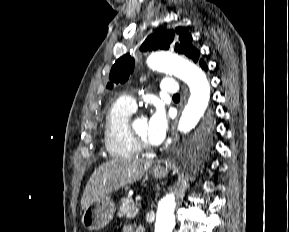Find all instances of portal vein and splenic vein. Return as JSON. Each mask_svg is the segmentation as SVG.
<instances>
[{
  "label": "portal vein and splenic vein",
  "instance_id": "1",
  "mask_svg": "<svg viewBox=\"0 0 289 232\" xmlns=\"http://www.w3.org/2000/svg\"><path fill=\"white\" fill-rule=\"evenodd\" d=\"M135 200H136V201H140V200H141V197L137 196V197L135 198Z\"/></svg>",
  "mask_w": 289,
  "mask_h": 232
}]
</instances>
